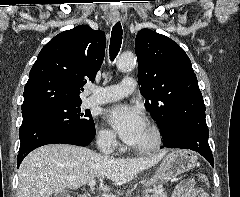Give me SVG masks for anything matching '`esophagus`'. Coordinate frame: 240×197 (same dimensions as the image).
<instances>
[{
    "label": "esophagus",
    "mask_w": 240,
    "mask_h": 197,
    "mask_svg": "<svg viewBox=\"0 0 240 197\" xmlns=\"http://www.w3.org/2000/svg\"><path fill=\"white\" fill-rule=\"evenodd\" d=\"M119 19H120L119 13H111L110 14V20H111L112 23L118 22Z\"/></svg>",
    "instance_id": "obj_1"
}]
</instances>
